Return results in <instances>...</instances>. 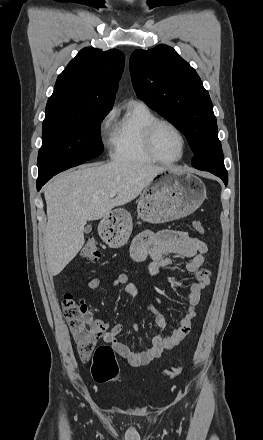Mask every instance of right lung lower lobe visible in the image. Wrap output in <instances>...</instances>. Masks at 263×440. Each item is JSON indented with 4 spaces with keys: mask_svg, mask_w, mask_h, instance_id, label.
I'll return each mask as SVG.
<instances>
[{
    "mask_svg": "<svg viewBox=\"0 0 263 440\" xmlns=\"http://www.w3.org/2000/svg\"><path fill=\"white\" fill-rule=\"evenodd\" d=\"M51 178V176L49 177H44V178H38L37 179V190L39 191L40 188Z\"/></svg>",
    "mask_w": 263,
    "mask_h": 440,
    "instance_id": "98d812e1",
    "label": "right lung lower lobe"
}]
</instances>
